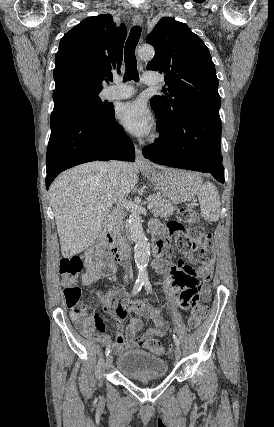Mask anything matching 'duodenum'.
Masks as SVG:
<instances>
[{"label": "duodenum", "mask_w": 274, "mask_h": 427, "mask_svg": "<svg viewBox=\"0 0 274 427\" xmlns=\"http://www.w3.org/2000/svg\"><path fill=\"white\" fill-rule=\"evenodd\" d=\"M153 251L156 256H160L165 249V230L163 228L154 229ZM99 244L107 246L110 249V254L115 261H121L126 256V246L115 240L110 231V223L108 222L101 230L99 236Z\"/></svg>", "instance_id": "410a0bca"}]
</instances>
